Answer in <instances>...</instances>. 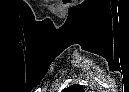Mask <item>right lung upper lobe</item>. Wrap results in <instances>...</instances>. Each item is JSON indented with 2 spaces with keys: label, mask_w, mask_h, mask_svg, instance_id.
<instances>
[{
  "label": "right lung upper lobe",
  "mask_w": 129,
  "mask_h": 92,
  "mask_svg": "<svg viewBox=\"0 0 129 92\" xmlns=\"http://www.w3.org/2000/svg\"><path fill=\"white\" fill-rule=\"evenodd\" d=\"M73 88H77V89H80V90L82 89L81 86H75V85H74V86L68 87V88H66V89H63L62 92H69V91H72Z\"/></svg>",
  "instance_id": "cb5924a9"
}]
</instances>
